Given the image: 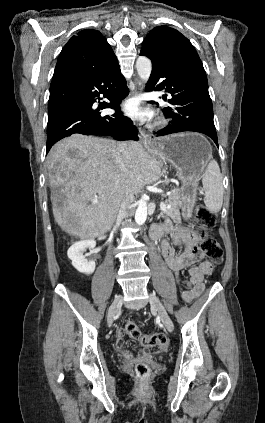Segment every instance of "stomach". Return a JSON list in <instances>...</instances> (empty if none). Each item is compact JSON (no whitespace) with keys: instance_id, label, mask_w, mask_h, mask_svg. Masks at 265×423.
<instances>
[{"instance_id":"1","label":"stomach","mask_w":265,"mask_h":423,"mask_svg":"<svg viewBox=\"0 0 265 423\" xmlns=\"http://www.w3.org/2000/svg\"><path fill=\"white\" fill-rule=\"evenodd\" d=\"M154 157L170 162L182 181V216L192 217L196 204L198 181L212 158L208 140L197 133H180L160 138L156 146L149 149Z\"/></svg>"}]
</instances>
